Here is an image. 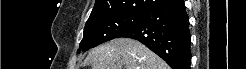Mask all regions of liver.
Segmentation results:
<instances>
[{
	"instance_id": "obj_1",
	"label": "liver",
	"mask_w": 246,
	"mask_h": 69,
	"mask_svg": "<svg viewBox=\"0 0 246 69\" xmlns=\"http://www.w3.org/2000/svg\"><path fill=\"white\" fill-rule=\"evenodd\" d=\"M92 69H168V65L138 41L117 38L89 52Z\"/></svg>"
}]
</instances>
